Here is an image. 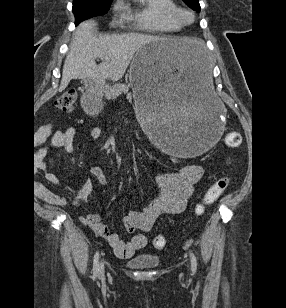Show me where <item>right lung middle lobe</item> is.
I'll return each mask as SVG.
<instances>
[{"mask_svg": "<svg viewBox=\"0 0 286 308\" xmlns=\"http://www.w3.org/2000/svg\"><path fill=\"white\" fill-rule=\"evenodd\" d=\"M113 0H73L75 23L107 13Z\"/></svg>", "mask_w": 286, "mask_h": 308, "instance_id": "right-lung-middle-lobe-1", "label": "right lung middle lobe"}]
</instances>
